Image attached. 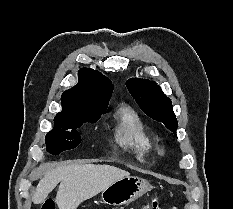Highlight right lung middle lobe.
Masks as SVG:
<instances>
[{
    "mask_svg": "<svg viewBox=\"0 0 233 209\" xmlns=\"http://www.w3.org/2000/svg\"><path fill=\"white\" fill-rule=\"evenodd\" d=\"M104 111H73L57 115L54 119L55 129L46 135V148L57 155L64 150L73 149L81 142L77 128L83 123H95Z\"/></svg>",
    "mask_w": 233,
    "mask_h": 209,
    "instance_id": "dd1d6c3e",
    "label": "right lung middle lobe"
}]
</instances>
